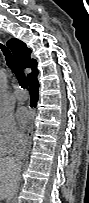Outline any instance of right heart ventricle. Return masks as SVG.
I'll list each match as a JSON object with an SVG mask.
<instances>
[{"mask_svg":"<svg viewBox=\"0 0 89 203\" xmlns=\"http://www.w3.org/2000/svg\"><path fill=\"white\" fill-rule=\"evenodd\" d=\"M1 154L3 155V154H5V152L3 150H1Z\"/></svg>","mask_w":89,"mask_h":203,"instance_id":"e07e8e85","label":"right heart ventricle"}]
</instances>
